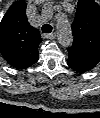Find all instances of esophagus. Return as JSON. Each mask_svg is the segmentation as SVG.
I'll use <instances>...</instances> for the list:
<instances>
[{
  "label": "esophagus",
  "instance_id": "1",
  "mask_svg": "<svg viewBox=\"0 0 100 118\" xmlns=\"http://www.w3.org/2000/svg\"><path fill=\"white\" fill-rule=\"evenodd\" d=\"M56 36L55 32L49 33V34H43L42 37L45 39H54Z\"/></svg>",
  "mask_w": 100,
  "mask_h": 118
}]
</instances>
